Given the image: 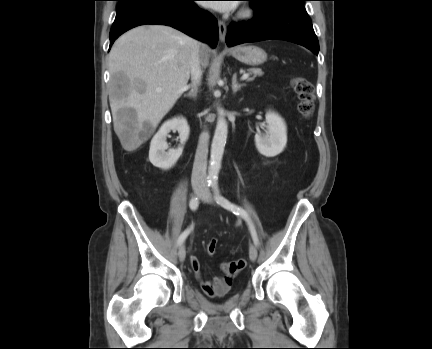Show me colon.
<instances>
[{
  "instance_id": "colon-1",
  "label": "colon",
  "mask_w": 432,
  "mask_h": 349,
  "mask_svg": "<svg viewBox=\"0 0 432 349\" xmlns=\"http://www.w3.org/2000/svg\"><path fill=\"white\" fill-rule=\"evenodd\" d=\"M291 85L298 96V110L300 114L309 118L314 111V87L311 82L303 77H294L291 81ZM217 249V241L211 240L207 246L209 255H214ZM246 266L245 259H238L229 262H225L222 266L223 272L226 277L233 279L239 272H241Z\"/></svg>"
}]
</instances>
